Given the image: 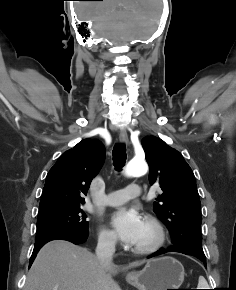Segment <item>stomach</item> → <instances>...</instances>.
Segmentation results:
<instances>
[{
    "label": "stomach",
    "instance_id": "stomach-1",
    "mask_svg": "<svg viewBox=\"0 0 236 290\" xmlns=\"http://www.w3.org/2000/svg\"><path fill=\"white\" fill-rule=\"evenodd\" d=\"M184 275V267L177 259L163 256L147 261L141 271L129 273L126 281L138 290L179 289Z\"/></svg>",
    "mask_w": 236,
    "mask_h": 290
}]
</instances>
